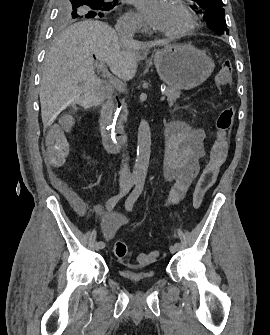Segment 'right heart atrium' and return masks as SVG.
Segmentation results:
<instances>
[{
	"label": "right heart atrium",
	"mask_w": 270,
	"mask_h": 335,
	"mask_svg": "<svg viewBox=\"0 0 270 335\" xmlns=\"http://www.w3.org/2000/svg\"><path fill=\"white\" fill-rule=\"evenodd\" d=\"M117 25H138V32L137 33H141L144 29V25L143 22L141 20V18L139 17V15L130 10L128 12H126L118 21Z\"/></svg>",
	"instance_id": "obj_1"
}]
</instances>
